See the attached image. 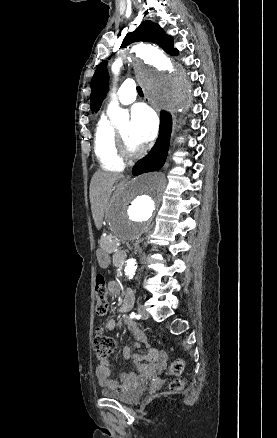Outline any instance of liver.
<instances>
[{
    "mask_svg": "<svg viewBox=\"0 0 277 438\" xmlns=\"http://www.w3.org/2000/svg\"><path fill=\"white\" fill-rule=\"evenodd\" d=\"M124 178L119 172H95L90 184V202L93 220L100 230L104 212L111 196L115 182Z\"/></svg>",
    "mask_w": 277,
    "mask_h": 438,
    "instance_id": "1",
    "label": "liver"
}]
</instances>
